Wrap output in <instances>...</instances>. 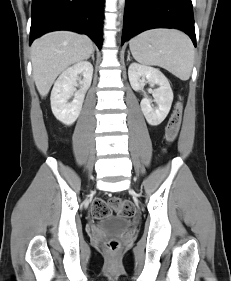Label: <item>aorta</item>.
Returning <instances> with one entry per match:
<instances>
[{"instance_id":"762f6f07","label":"aorta","mask_w":231,"mask_h":281,"mask_svg":"<svg viewBox=\"0 0 231 281\" xmlns=\"http://www.w3.org/2000/svg\"><path fill=\"white\" fill-rule=\"evenodd\" d=\"M118 5L120 10L123 9L125 5V0H119Z\"/></svg>"}]
</instances>
